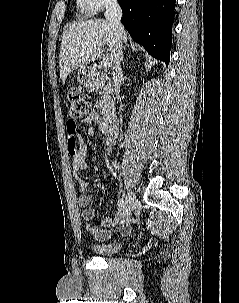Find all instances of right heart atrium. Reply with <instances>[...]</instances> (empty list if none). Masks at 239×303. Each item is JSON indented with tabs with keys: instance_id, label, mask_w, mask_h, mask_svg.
<instances>
[{
	"instance_id": "d8ad5b80",
	"label": "right heart atrium",
	"mask_w": 239,
	"mask_h": 303,
	"mask_svg": "<svg viewBox=\"0 0 239 303\" xmlns=\"http://www.w3.org/2000/svg\"><path fill=\"white\" fill-rule=\"evenodd\" d=\"M116 1L117 0H77V5L85 13L93 14L114 5Z\"/></svg>"
}]
</instances>
